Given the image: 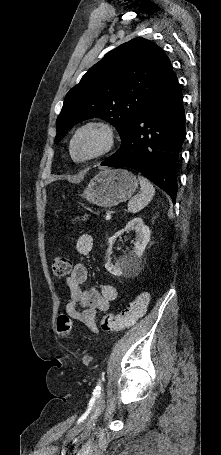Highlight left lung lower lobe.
<instances>
[{
    "label": "left lung lower lobe",
    "mask_w": 221,
    "mask_h": 455,
    "mask_svg": "<svg viewBox=\"0 0 221 455\" xmlns=\"http://www.w3.org/2000/svg\"><path fill=\"white\" fill-rule=\"evenodd\" d=\"M184 136L182 93L173 72L163 88L137 115L120 149L101 165L135 169L175 201L177 163Z\"/></svg>",
    "instance_id": "0a47b994"
}]
</instances>
